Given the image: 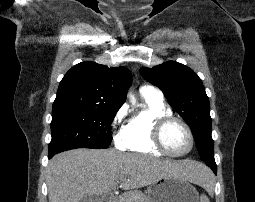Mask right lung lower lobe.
<instances>
[{"label":"right lung lower lobe","mask_w":255,"mask_h":202,"mask_svg":"<svg viewBox=\"0 0 255 202\" xmlns=\"http://www.w3.org/2000/svg\"><path fill=\"white\" fill-rule=\"evenodd\" d=\"M51 157H53V156L49 155V158H51Z\"/></svg>","instance_id":"98d812e1"}]
</instances>
